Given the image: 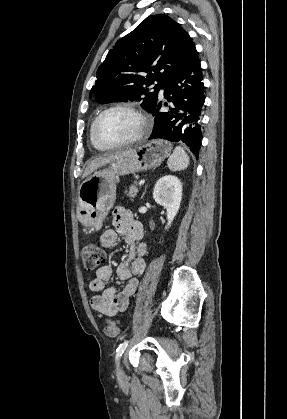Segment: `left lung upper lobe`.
Listing matches in <instances>:
<instances>
[{"mask_svg": "<svg viewBox=\"0 0 287 419\" xmlns=\"http://www.w3.org/2000/svg\"><path fill=\"white\" fill-rule=\"evenodd\" d=\"M196 58L190 36L177 22L163 14L152 15L116 42L98 68L91 92L100 103L138 100L150 111L162 85ZM154 81L158 84L150 92L144 86Z\"/></svg>", "mask_w": 287, "mask_h": 419, "instance_id": "1", "label": "left lung upper lobe"}]
</instances>
